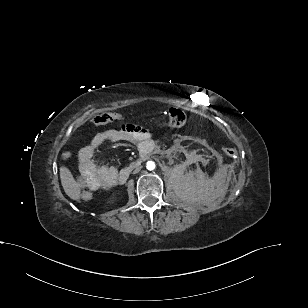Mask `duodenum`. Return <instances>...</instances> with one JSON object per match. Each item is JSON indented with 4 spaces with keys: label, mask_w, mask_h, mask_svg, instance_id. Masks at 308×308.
Listing matches in <instances>:
<instances>
[{
    "label": "duodenum",
    "mask_w": 308,
    "mask_h": 308,
    "mask_svg": "<svg viewBox=\"0 0 308 308\" xmlns=\"http://www.w3.org/2000/svg\"><path fill=\"white\" fill-rule=\"evenodd\" d=\"M139 148H140V151H141L140 157L133 164H131L130 166H128L124 169H122L121 172L119 173L117 180L120 184H124L127 181V179L129 178L132 170L140 167V165L142 164V161L145 160V158L149 154L154 153L155 149H156L155 144L151 143V142L150 143H145V142L141 143Z\"/></svg>",
    "instance_id": "1"
}]
</instances>
